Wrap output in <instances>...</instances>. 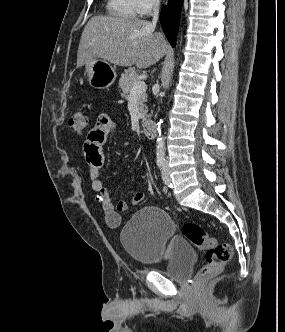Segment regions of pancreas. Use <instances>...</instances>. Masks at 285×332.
Masks as SVG:
<instances>
[{"instance_id": "1", "label": "pancreas", "mask_w": 285, "mask_h": 332, "mask_svg": "<svg viewBox=\"0 0 285 332\" xmlns=\"http://www.w3.org/2000/svg\"><path fill=\"white\" fill-rule=\"evenodd\" d=\"M140 81V77L138 74V71H136L134 68H129L125 70V73L122 74L120 80H119V87L122 91V97H125L128 99L129 94L131 93V90L135 83ZM147 99L146 92H142L138 96V102H139V108L141 111V119L142 121H145L147 118V107L144 104V102Z\"/></svg>"}]
</instances>
